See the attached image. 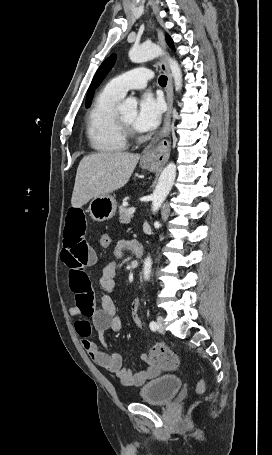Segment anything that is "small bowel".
I'll list each match as a JSON object with an SVG mask.
<instances>
[{
    "instance_id": "small-bowel-1",
    "label": "small bowel",
    "mask_w": 272,
    "mask_h": 455,
    "mask_svg": "<svg viewBox=\"0 0 272 455\" xmlns=\"http://www.w3.org/2000/svg\"><path fill=\"white\" fill-rule=\"evenodd\" d=\"M86 218L78 208L69 210L63 232L61 260L68 270L69 286L74 294L75 304L69 313L76 318L74 327L80 337L81 343L90 358L100 367L114 374L124 385L138 386L156 377L161 372V366L151 364L140 371L132 372L122 365V357L113 351L104 341L99 347L91 340V323L94 328L104 334L106 331L120 332L123 327L121 318L116 314L115 304L111 293L115 288L116 261L108 263L102 272L100 284L104 290L100 307H95L94 293L91 287L87 269L96 263L97 254L85 240ZM133 241H118L113 254L120 259L125 251L132 250ZM140 300L134 299L131 305L132 317L137 325L141 324L138 315ZM91 319V323L88 320ZM146 361L147 356L142 355Z\"/></svg>"
}]
</instances>
